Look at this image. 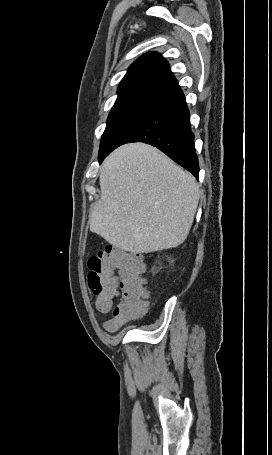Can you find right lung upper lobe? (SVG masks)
Returning <instances> with one entry per match:
<instances>
[{"label":"right lung upper lobe","mask_w":272,"mask_h":455,"mask_svg":"<svg viewBox=\"0 0 272 455\" xmlns=\"http://www.w3.org/2000/svg\"><path fill=\"white\" fill-rule=\"evenodd\" d=\"M182 95L166 60L156 52H148L130 66L119 84L116 102L147 99L167 104Z\"/></svg>","instance_id":"1"}]
</instances>
